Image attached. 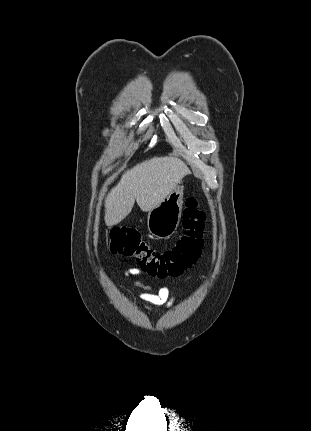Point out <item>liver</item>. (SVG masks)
I'll return each instance as SVG.
<instances>
[{
    "instance_id": "1",
    "label": "liver",
    "mask_w": 311,
    "mask_h": 431,
    "mask_svg": "<svg viewBox=\"0 0 311 431\" xmlns=\"http://www.w3.org/2000/svg\"><path fill=\"white\" fill-rule=\"evenodd\" d=\"M189 174L186 164L172 156L151 158L126 170L106 196V225H117L129 216L135 202L142 212H151Z\"/></svg>"
}]
</instances>
